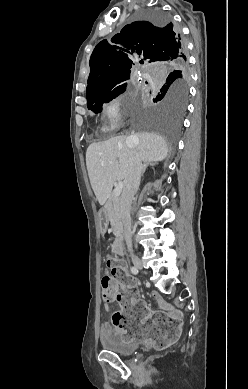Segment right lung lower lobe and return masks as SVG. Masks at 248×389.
I'll return each mask as SVG.
<instances>
[{"instance_id":"obj_1","label":"right lung lower lobe","mask_w":248,"mask_h":389,"mask_svg":"<svg viewBox=\"0 0 248 389\" xmlns=\"http://www.w3.org/2000/svg\"><path fill=\"white\" fill-rule=\"evenodd\" d=\"M177 39L179 40L178 43H180V41L182 40L180 33H178ZM180 48H181V43L179 44V49L177 48L176 50L179 51Z\"/></svg>"}]
</instances>
